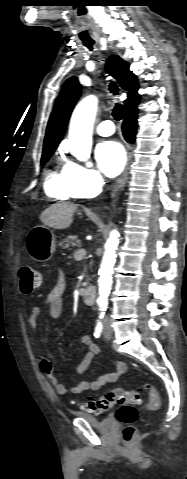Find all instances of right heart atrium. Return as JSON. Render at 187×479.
<instances>
[{
    "label": "right heart atrium",
    "mask_w": 187,
    "mask_h": 479,
    "mask_svg": "<svg viewBox=\"0 0 187 479\" xmlns=\"http://www.w3.org/2000/svg\"><path fill=\"white\" fill-rule=\"evenodd\" d=\"M64 170L77 197L89 198L101 191L104 179L98 170L74 161H68Z\"/></svg>",
    "instance_id": "obj_1"
}]
</instances>
